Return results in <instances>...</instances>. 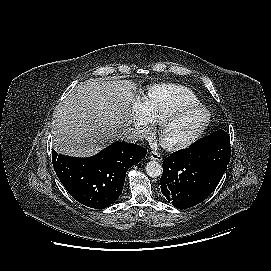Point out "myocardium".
I'll list each match as a JSON object with an SVG mask.
<instances>
[{
  "mask_svg": "<svg viewBox=\"0 0 271 271\" xmlns=\"http://www.w3.org/2000/svg\"><path fill=\"white\" fill-rule=\"evenodd\" d=\"M196 111H201L204 114V119L201 121V123L196 127V129L186 138L178 141H170L167 140L165 137V133L169 125L175 121L176 119L192 113ZM211 121V113L209 109L201 104H191L186 105L183 107H180L176 110H173L169 112L168 114L164 115L159 121H158V136L161 145L172 151L181 150L184 148H187L191 146L193 143H195L204 133V131L207 129Z\"/></svg>",
  "mask_w": 271,
  "mask_h": 271,
  "instance_id": "obj_1",
  "label": "myocardium"
}]
</instances>
